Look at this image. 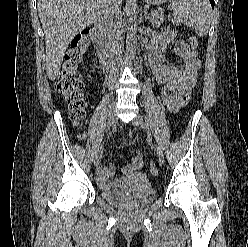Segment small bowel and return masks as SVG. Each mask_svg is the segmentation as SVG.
Returning a JSON list of instances; mask_svg holds the SVG:
<instances>
[{"label": "small bowel", "instance_id": "obj_1", "mask_svg": "<svg viewBox=\"0 0 248 247\" xmlns=\"http://www.w3.org/2000/svg\"><path fill=\"white\" fill-rule=\"evenodd\" d=\"M171 34H164L155 38L150 47L149 63L153 78L158 85H169L173 89L170 111L177 112L189 100L192 90L196 85L200 61L198 52L188 43L179 40L175 44V53L184 60V66L179 68L162 61V51L171 40ZM129 154L136 153L132 161L123 167V176L113 179L114 165L110 163L107 167L101 166L97 171V179L102 187H123L127 184L130 175L144 165L143 154L131 149Z\"/></svg>", "mask_w": 248, "mask_h": 247}]
</instances>
